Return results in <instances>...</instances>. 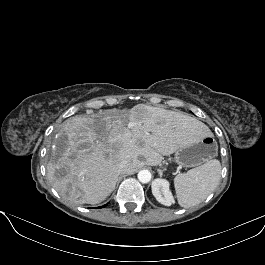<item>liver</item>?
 <instances>
[{
  "label": "liver",
  "mask_w": 265,
  "mask_h": 265,
  "mask_svg": "<svg viewBox=\"0 0 265 265\" xmlns=\"http://www.w3.org/2000/svg\"><path fill=\"white\" fill-rule=\"evenodd\" d=\"M210 134L202 122L183 113L145 104L128 112L108 110L92 117L64 121L46 166L53 188L76 204H98L114 190L119 164L126 173L144 165L156 166L185 141ZM63 146L59 149V145Z\"/></svg>",
  "instance_id": "obj_1"
}]
</instances>
